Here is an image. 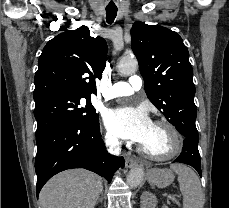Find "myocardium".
<instances>
[{
  "label": "myocardium",
  "instance_id": "obj_1",
  "mask_svg": "<svg viewBox=\"0 0 229 208\" xmlns=\"http://www.w3.org/2000/svg\"><path fill=\"white\" fill-rule=\"evenodd\" d=\"M153 124L157 126H164L170 129L166 131V134L169 135L168 142L170 143V147H177V149L168 155H163L162 157H155L154 153L149 152V150L141 144L140 149L143 154L154 161H168L180 155L185 146V138L183 133L174 124L166 120H156L153 122Z\"/></svg>",
  "mask_w": 229,
  "mask_h": 208
}]
</instances>
